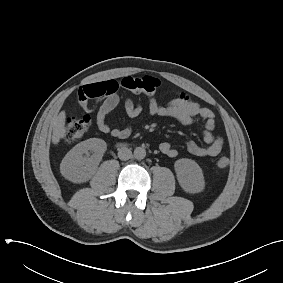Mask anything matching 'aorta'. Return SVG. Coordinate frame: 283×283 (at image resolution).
Instances as JSON below:
<instances>
[{
    "label": "aorta",
    "mask_w": 283,
    "mask_h": 283,
    "mask_svg": "<svg viewBox=\"0 0 283 283\" xmlns=\"http://www.w3.org/2000/svg\"><path fill=\"white\" fill-rule=\"evenodd\" d=\"M146 156V150L143 147H136L134 150V157L137 160L144 159Z\"/></svg>",
    "instance_id": "aorta-1"
}]
</instances>
